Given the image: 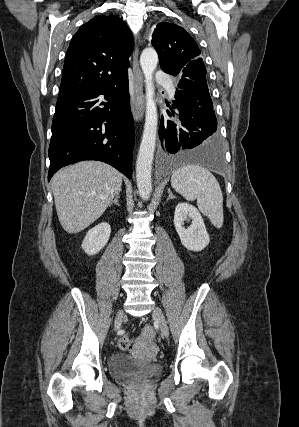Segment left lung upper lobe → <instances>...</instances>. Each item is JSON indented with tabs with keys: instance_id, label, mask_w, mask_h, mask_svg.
<instances>
[{
	"instance_id": "obj_1",
	"label": "left lung upper lobe",
	"mask_w": 299,
	"mask_h": 427,
	"mask_svg": "<svg viewBox=\"0 0 299 427\" xmlns=\"http://www.w3.org/2000/svg\"><path fill=\"white\" fill-rule=\"evenodd\" d=\"M161 69L178 76V88L200 94L212 102L206 81V68L195 40L182 27L161 22L152 35Z\"/></svg>"
}]
</instances>
